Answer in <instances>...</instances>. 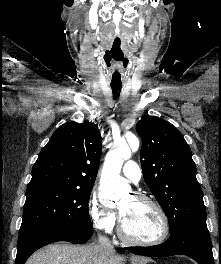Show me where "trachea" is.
Wrapping results in <instances>:
<instances>
[{
    "label": "trachea",
    "instance_id": "trachea-1",
    "mask_svg": "<svg viewBox=\"0 0 221 264\" xmlns=\"http://www.w3.org/2000/svg\"><path fill=\"white\" fill-rule=\"evenodd\" d=\"M111 88L114 98L117 99L120 95L122 85H111Z\"/></svg>",
    "mask_w": 221,
    "mask_h": 264
}]
</instances>
